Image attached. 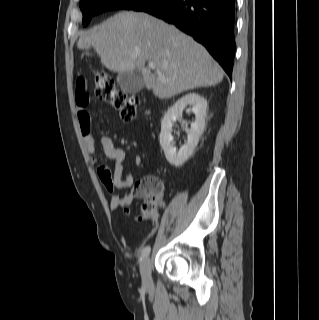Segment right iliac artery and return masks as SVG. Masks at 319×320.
<instances>
[{
	"label": "right iliac artery",
	"instance_id": "obj_1",
	"mask_svg": "<svg viewBox=\"0 0 319 320\" xmlns=\"http://www.w3.org/2000/svg\"><path fill=\"white\" fill-rule=\"evenodd\" d=\"M150 250H151L150 246L145 247V248L142 250V257H143V258L147 257V256L149 255V253H150Z\"/></svg>",
	"mask_w": 319,
	"mask_h": 320
}]
</instances>
